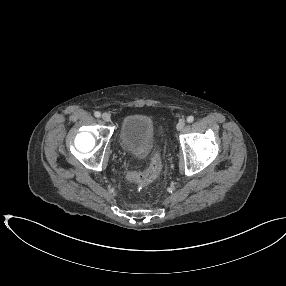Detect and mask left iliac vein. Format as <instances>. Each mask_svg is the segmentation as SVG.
<instances>
[{
    "mask_svg": "<svg viewBox=\"0 0 286 286\" xmlns=\"http://www.w3.org/2000/svg\"><path fill=\"white\" fill-rule=\"evenodd\" d=\"M185 124H186L185 120H180L177 124V130L178 131L182 130L185 127Z\"/></svg>",
    "mask_w": 286,
    "mask_h": 286,
    "instance_id": "left-iliac-vein-1",
    "label": "left iliac vein"
}]
</instances>
